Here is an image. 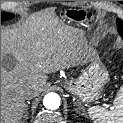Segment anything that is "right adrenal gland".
Returning a JSON list of instances; mask_svg holds the SVG:
<instances>
[{"instance_id":"right-adrenal-gland-1","label":"right adrenal gland","mask_w":123,"mask_h":123,"mask_svg":"<svg viewBox=\"0 0 123 123\" xmlns=\"http://www.w3.org/2000/svg\"><path fill=\"white\" fill-rule=\"evenodd\" d=\"M26 108H28V105H26ZM22 123H24V122H22Z\"/></svg>"}]
</instances>
